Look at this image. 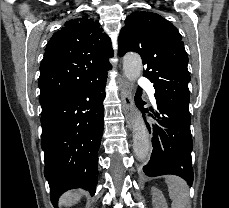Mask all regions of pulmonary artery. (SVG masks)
I'll return each mask as SVG.
<instances>
[{
  "instance_id": "obj_1",
  "label": "pulmonary artery",
  "mask_w": 229,
  "mask_h": 208,
  "mask_svg": "<svg viewBox=\"0 0 229 208\" xmlns=\"http://www.w3.org/2000/svg\"><path fill=\"white\" fill-rule=\"evenodd\" d=\"M149 82V79L148 78H140L139 79V87H146L149 95L153 98V95H154V88H153V85L151 83H148ZM154 101V99H153Z\"/></svg>"
}]
</instances>
